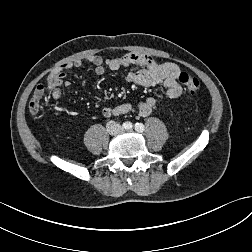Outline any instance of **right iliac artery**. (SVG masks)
I'll return each mask as SVG.
<instances>
[{
	"mask_svg": "<svg viewBox=\"0 0 252 252\" xmlns=\"http://www.w3.org/2000/svg\"><path fill=\"white\" fill-rule=\"evenodd\" d=\"M123 127H124L125 129H130V128H132V123H130V122H125V123H123Z\"/></svg>",
	"mask_w": 252,
	"mask_h": 252,
	"instance_id": "1",
	"label": "right iliac artery"
}]
</instances>
